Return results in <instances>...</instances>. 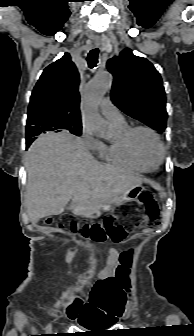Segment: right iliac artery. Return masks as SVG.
Here are the masks:
<instances>
[{"label":"right iliac artery","instance_id":"1","mask_svg":"<svg viewBox=\"0 0 194 336\" xmlns=\"http://www.w3.org/2000/svg\"><path fill=\"white\" fill-rule=\"evenodd\" d=\"M45 329H46V332H51L52 330L51 324H48Z\"/></svg>","mask_w":194,"mask_h":336}]
</instances>
